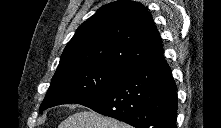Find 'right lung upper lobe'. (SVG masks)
<instances>
[{"mask_svg": "<svg viewBox=\"0 0 221 128\" xmlns=\"http://www.w3.org/2000/svg\"><path fill=\"white\" fill-rule=\"evenodd\" d=\"M162 54L150 12L140 3L119 0L102 6L78 27L57 71L96 66L126 74Z\"/></svg>", "mask_w": 221, "mask_h": 128, "instance_id": "1", "label": "right lung upper lobe"}]
</instances>
